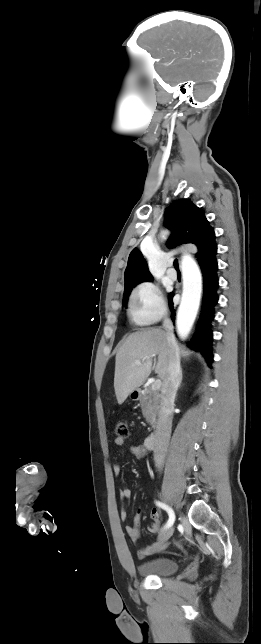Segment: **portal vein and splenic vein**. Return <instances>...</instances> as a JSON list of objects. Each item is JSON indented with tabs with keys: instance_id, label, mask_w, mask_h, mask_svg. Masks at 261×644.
I'll list each match as a JSON object with an SVG mask.
<instances>
[{
	"instance_id": "obj_1",
	"label": "portal vein and splenic vein",
	"mask_w": 261,
	"mask_h": 644,
	"mask_svg": "<svg viewBox=\"0 0 261 644\" xmlns=\"http://www.w3.org/2000/svg\"><path fill=\"white\" fill-rule=\"evenodd\" d=\"M135 364H136V365H140V364H141V361H140V360H136V361H135ZM160 387H161V380H160V379H157V380H155V381L152 383V385H151V390L155 391V390H158Z\"/></svg>"
}]
</instances>
